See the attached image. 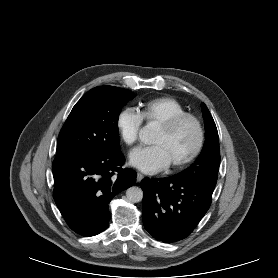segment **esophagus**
Listing matches in <instances>:
<instances>
[{
	"mask_svg": "<svg viewBox=\"0 0 278 278\" xmlns=\"http://www.w3.org/2000/svg\"><path fill=\"white\" fill-rule=\"evenodd\" d=\"M143 178H144L143 174L137 173V177H136L137 182H141L143 180Z\"/></svg>",
	"mask_w": 278,
	"mask_h": 278,
	"instance_id": "1",
	"label": "esophagus"
}]
</instances>
